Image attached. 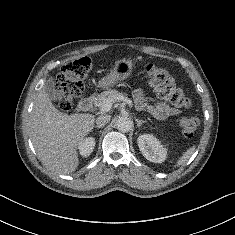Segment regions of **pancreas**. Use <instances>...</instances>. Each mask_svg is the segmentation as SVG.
<instances>
[{"label": "pancreas", "mask_w": 235, "mask_h": 235, "mask_svg": "<svg viewBox=\"0 0 235 235\" xmlns=\"http://www.w3.org/2000/svg\"><path fill=\"white\" fill-rule=\"evenodd\" d=\"M120 96H124V95L122 93H119L116 90L109 89V90H106V91L102 92L101 94L97 95L94 100V104H95V106L100 107L101 104L104 101H106L107 99H111L114 103L115 101L118 100V98Z\"/></svg>", "instance_id": "pancreas-1"}]
</instances>
